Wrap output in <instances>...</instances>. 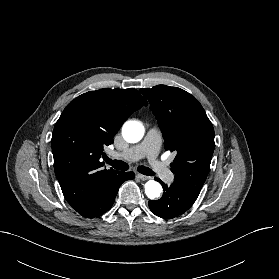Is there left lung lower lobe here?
Returning <instances> with one entry per match:
<instances>
[{
	"label": "left lung lower lobe",
	"instance_id": "obj_1",
	"mask_svg": "<svg viewBox=\"0 0 279 279\" xmlns=\"http://www.w3.org/2000/svg\"><path fill=\"white\" fill-rule=\"evenodd\" d=\"M158 181L163 186V196L159 200L148 202L150 210L156 216L165 219L177 217L186 212L199 195V192L182 188L175 183L168 187L160 179Z\"/></svg>",
	"mask_w": 279,
	"mask_h": 279
}]
</instances>
